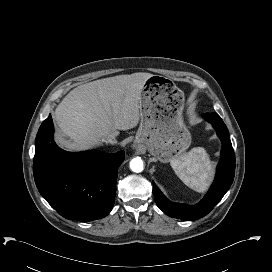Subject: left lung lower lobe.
<instances>
[{"instance_id": "left-lung-lower-lobe-1", "label": "left lung lower lobe", "mask_w": 272, "mask_h": 272, "mask_svg": "<svg viewBox=\"0 0 272 272\" xmlns=\"http://www.w3.org/2000/svg\"><path fill=\"white\" fill-rule=\"evenodd\" d=\"M202 116L217 130V135L221 138L223 144L216 177L207 195L195 206L169 201L153 183L156 204L170 217L195 220L205 216L222 199L234 179L235 155L226 125L217 113H205Z\"/></svg>"}]
</instances>
